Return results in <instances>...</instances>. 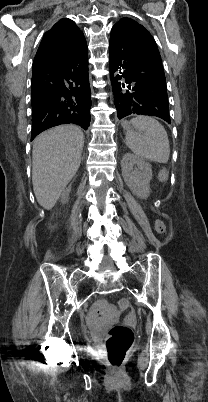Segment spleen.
I'll use <instances>...</instances> for the list:
<instances>
[{
  "label": "spleen",
  "instance_id": "3e777b00",
  "mask_svg": "<svg viewBox=\"0 0 208 402\" xmlns=\"http://www.w3.org/2000/svg\"><path fill=\"white\" fill-rule=\"evenodd\" d=\"M131 124L134 130L126 132L125 144L133 154L144 160L167 164L170 146L164 126L150 116H137L131 120Z\"/></svg>",
  "mask_w": 208,
  "mask_h": 402
}]
</instances>
